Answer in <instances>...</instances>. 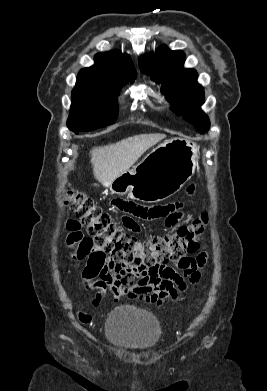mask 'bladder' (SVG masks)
I'll use <instances>...</instances> for the list:
<instances>
[{
    "instance_id": "1",
    "label": "bladder",
    "mask_w": 267,
    "mask_h": 391,
    "mask_svg": "<svg viewBox=\"0 0 267 391\" xmlns=\"http://www.w3.org/2000/svg\"><path fill=\"white\" fill-rule=\"evenodd\" d=\"M105 336L122 349L151 350L160 339L161 327L152 314L132 305H121L110 312Z\"/></svg>"
}]
</instances>
